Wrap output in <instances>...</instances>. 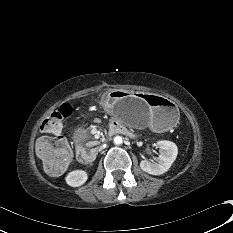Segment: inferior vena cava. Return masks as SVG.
<instances>
[{
  "label": "inferior vena cava",
  "instance_id": "1",
  "mask_svg": "<svg viewBox=\"0 0 233 233\" xmlns=\"http://www.w3.org/2000/svg\"><path fill=\"white\" fill-rule=\"evenodd\" d=\"M98 149H99V151H101L102 150V146H100Z\"/></svg>",
  "mask_w": 233,
  "mask_h": 233
}]
</instances>
